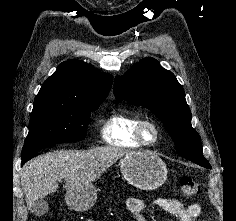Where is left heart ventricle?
<instances>
[{"instance_id": "1", "label": "left heart ventricle", "mask_w": 236, "mask_h": 221, "mask_svg": "<svg viewBox=\"0 0 236 221\" xmlns=\"http://www.w3.org/2000/svg\"><path fill=\"white\" fill-rule=\"evenodd\" d=\"M144 135L147 140H152L154 138V131L151 127H146L144 130Z\"/></svg>"}]
</instances>
